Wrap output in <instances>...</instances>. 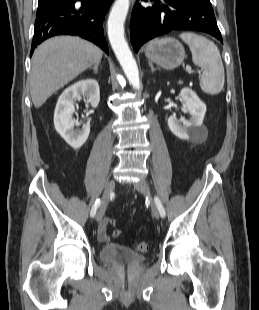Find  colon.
<instances>
[{
    "label": "colon",
    "instance_id": "colon-1",
    "mask_svg": "<svg viewBox=\"0 0 259 310\" xmlns=\"http://www.w3.org/2000/svg\"><path fill=\"white\" fill-rule=\"evenodd\" d=\"M107 225L114 226L116 224V220L113 218H109L106 221ZM122 235V231L120 229H115L112 232V236L114 238H119ZM136 252L145 253L150 249V243L148 241H140L134 247Z\"/></svg>",
    "mask_w": 259,
    "mask_h": 310
}]
</instances>
